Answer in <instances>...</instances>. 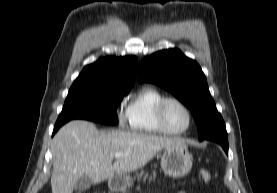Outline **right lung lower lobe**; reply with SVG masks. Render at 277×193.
<instances>
[{"instance_id":"98d812e1","label":"right lung lower lobe","mask_w":277,"mask_h":193,"mask_svg":"<svg viewBox=\"0 0 277 193\" xmlns=\"http://www.w3.org/2000/svg\"><path fill=\"white\" fill-rule=\"evenodd\" d=\"M63 124H65V123H58V122H56V124H55V126H54V130H53V134H52V135H54L55 132H57L58 129H59Z\"/></svg>"}]
</instances>
